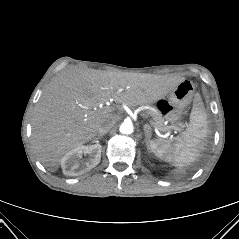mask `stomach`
<instances>
[{"label": "stomach", "instance_id": "obj_1", "mask_svg": "<svg viewBox=\"0 0 239 239\" xmlns=\"http://www.w3.org/2000/svg\"><path fill=\"white\" fill-rule=\"evenodd\" d=\"M194 92V84L190 80H182L168 94L156 101L164 118L168 121H178L184 108L190 103Z\"/></svg>", "mask_w": 239, "mask_h": 239}]
</instances>
